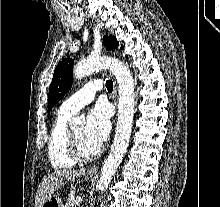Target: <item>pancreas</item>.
Instances as JSON below:
<instances>
[{"label": "pancreas", "instance_id": "cf45deb5", "mask_svg": "<svg viewBox=\"0 0 220 207\" xmlns=\"http://www.w3.org/2000/svg\"><path fill=\"white\" fill-rule=\"evenodd\" d=\"M64 207H76L74 204L70 201H67Z\"/></svg>", "mask_w": 220, "mask_h": 207}]
</instances>
